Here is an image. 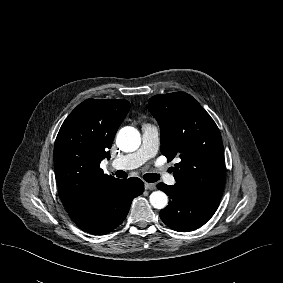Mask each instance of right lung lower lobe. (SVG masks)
<instances>
[{
    "instance_id": "98d812e1",
    "label": "right lung lower lobe",
    "mask_w": 283,
    "mask_h": 283,
    "mask_svg": "<svg viewBox=\"0 0 283 283\" xmlns=\"http://www.w3.org/2000/svg\"><path fill=\"white\" fill-rule=\"evenodd\" d=\"M143 182L136 177L119 180L74 223L83 231L103 235L111 232L126 218L132 200L141 195Z\"/></svg>"
}]
</instances>
